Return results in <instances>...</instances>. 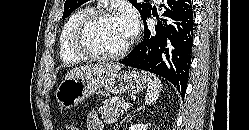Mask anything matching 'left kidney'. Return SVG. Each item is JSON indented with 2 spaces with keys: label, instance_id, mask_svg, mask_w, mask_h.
<instances>
[{
  "label": "left kidney",
  "instance_id": "obj_1",
  "mask_svg": "<svg viewBox=\"0 0 249 130\" xmlns=\"http://www.w3.org/2000/svg\"><path fill=\"white\" fill-rule=\"evenodd\" d=\"M129 130H147V125L141 123L132 124Z\"/></svg>",
  "mask_w": 249,
  "mask_h": 130
}]
</instances>
